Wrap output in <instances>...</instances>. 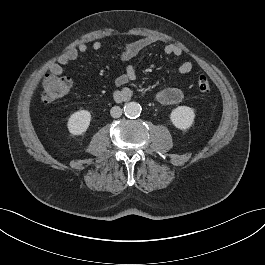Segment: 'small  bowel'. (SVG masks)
Returning <instances> with one entry per match:
<instances>
[{
    "label": "small bowel",
    "instance_id": "1",
    "mask_svg": "<svg viewBox=\"0 0 265 265\" xmlns=\"http://www.w3.org/2000/svg\"><path fill=\"white\" fill-rule=\"evenodd\" d=\"M157 39L154 37H143L133 42L126 43L121 50L120 57L122 61H130L144 49L155 44ZM103 48V43L100 40H95L92 43V49L99 51ZM88 51V46L85 43H80L74 48L68 49L63 53L58 61L50 67V72L54 75H63L65 67L78 58L80 54H84ZM164 53L170 56H180L183 54V50L176 44H168L164 47ZM193 65L190 61L181 63L177 68V73L180 75L188 74L191 72ZM136 79V69L133 65H128L123 74L119 75L115 79L117 86H124L127 83ZM132 94L131 90L124 88L118 92L117 97L119 99H126ZM184 98V92L181 86L172 85L161 89L156 94V100L164 105H176L179 104Z\"/></svg>",
    "mask_w": 265,
    "mask_h": 265
}]
</instances>
